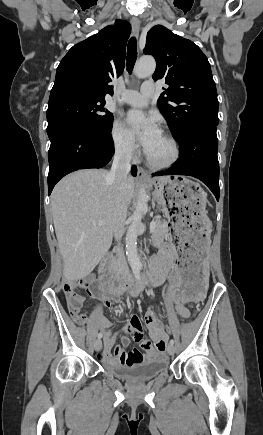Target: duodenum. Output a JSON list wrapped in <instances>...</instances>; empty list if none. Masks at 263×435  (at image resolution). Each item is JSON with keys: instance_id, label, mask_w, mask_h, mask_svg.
Listing matches in <instances>:
<instances>
[{"instance_id": "obj_1", "label": "duodenum", "mask_w": 263, "mask_h": 435, "mask_svg": "<svg viewBox=\"0 0 263 435\" xmlns=\"http://www.w3.org/2000/svg\"><path fill=\"white\" fill-rule=\"evenodd\" d=\"M105 279L109 293L114 295L123 292L137 295L145 286L137 277L119 273L114 264L113 254H109L106 259Z\"/></svg>"}]
</instances>
